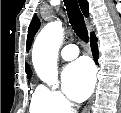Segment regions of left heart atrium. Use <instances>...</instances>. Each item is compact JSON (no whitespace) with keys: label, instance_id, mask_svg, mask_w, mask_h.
<instances>
[{"label":"left heart atrium","instance_id":"1","mask_svg":"<svg viewBox=\"0 0 121 113\" xmlns=\"http://www.w3.org/2000/svg\"><path fill=\"white\" fill-rule=\"evenodd\" d=\"M62 80L66 95L75 101H83L94 87V67L87 59L77 60L64 69Z\"/></svg>","mask_w":121,"mask_h":113}]
</instances>
